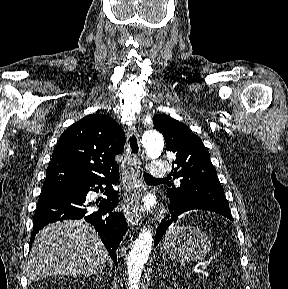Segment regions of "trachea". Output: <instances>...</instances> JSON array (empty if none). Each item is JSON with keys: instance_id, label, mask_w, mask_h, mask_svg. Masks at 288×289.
I'll use <instances>...</instances> for the list:
<instances>
[{"instance_id": "obj_1", "label": "trachea", "mask_w": 288, "mask_h": 289, "mask_svg": "<svg viewBox=\"0 0 288 289\" xmlns=\"http://www.w3.org/2000/svg\"><path fill=\"white\" fill-rule=\"evenodd\" d=\"M143 177L145 180H156L155 178H153L152 176H150L149 174L147 173H143Z\"/></svg>"}]
</instances>
